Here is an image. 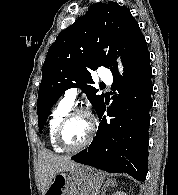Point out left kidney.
<instances>
[{
  "mask_svg": "<svg viewBox=\"0 0 178 195\" xmlns=\"http://www.w3.org/2000/svg\"><path fill=\"white\" fill-rule=\"evenodd\" d=\"M113 195H127V194L123 191H117Z\"/></svg>",
  "mask_w": 178,
  "mask_h": 195,
  "instance_id": "obj_1",
  "label": "left kidney"
}]
</instances>
